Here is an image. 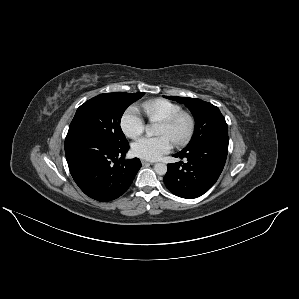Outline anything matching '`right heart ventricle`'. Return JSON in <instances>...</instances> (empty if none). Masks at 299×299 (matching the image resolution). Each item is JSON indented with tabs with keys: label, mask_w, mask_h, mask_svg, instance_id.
Masks as SVG:
<instances>
[{
	"label": "right heart ventricle",
	"mask_w": 299,
	"mask_h": 299,
	"mask_svg": "<svg viewBox=\"0 0 299 299\" xmlns=\"http://www.w3.org/2000/svg\"><path fill=\"white\" fill-rule=\"evenodd\" d=\"M141 109L150 121H162L182 110L180 105L161 98L142 103Z\"/></svg>",
	"instance_id": "1"
}]
</instances>
